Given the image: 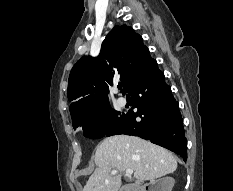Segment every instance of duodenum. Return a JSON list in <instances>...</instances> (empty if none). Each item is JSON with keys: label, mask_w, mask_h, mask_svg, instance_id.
<instances>
[{"label": "duodenum", "mask_w": 233, "mask_h": 191, "mask_svg": "<svg viewBox=\"0 0 233 191\" xmlns=\"http://www.w3.org/2000/svg\"><path fill=\"white\" fill-rule=\"evenodd\" d=\"M123 191H142L140 187L136 185H130L126 187Z\"/></svg>", "instance_id": "obj_1"}]
</instances>
